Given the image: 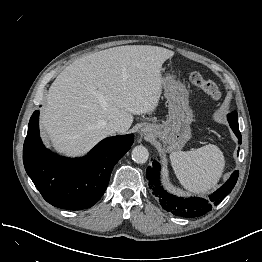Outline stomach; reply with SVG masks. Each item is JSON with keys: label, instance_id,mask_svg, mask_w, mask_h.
Segmentation results:
<instances>
[{"label": "stomach", "instance_id": "1", "mask_svg": "<svg viewBox=\"0 0 262 262\" xmlns=\"http://www.w3.org/2000/svg\"><path fill=\"white\" fill-rule=\"evenodd\" d=\"M162 87L167 99V119L161 124H148L146 128L153 137L162 141L165 151L180 150L191 138L193 111L189 106V93L185 86L171 75L163 77Z\"/></svg>", "mask_w": 262, "mask_h": 262}]
</instances>
